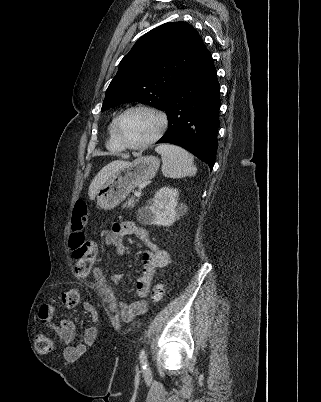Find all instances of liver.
<instances>
[{
  "mask_svg": "<svg viewBox=\"0 0 321 402\" xmlns=\"http://www.w3.org/2000/svg\"><path fill=\"white\" fill-rule=\"evenodd\" d=\"M129 164L128 161L116 160L112 161L111 163L107 164L103 167L95 178L92 180L90 187H89V196L91 199L94 198L97 190L99 187L116 171L120 170L121 168L127 166Z\"/></svg>",
  "mask_w": 321,
  "mask_h": 402,
  "instance_id": "6515ba94",
  "label": "liver"
}]
</instances>
